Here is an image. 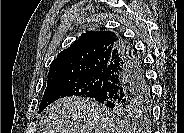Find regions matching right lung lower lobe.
<instances>
[{
  "label": "right lung lower lobe",
  "instance_id": "1",
  "mask_svg": "<svg viewBox=\"0 0 184 133\" xmlns=\"http://www.w3.org/2000/svg\"><path fill=\"white\" fill-rule=\"evenodd\" d=\"M149 94L142 61L134 48L120 38L103 72L102 86L94 100L106 106L131 105Z\"/></svg>",
  "mask_w": 184,
  "mask_h": 133
}]
</instances>
